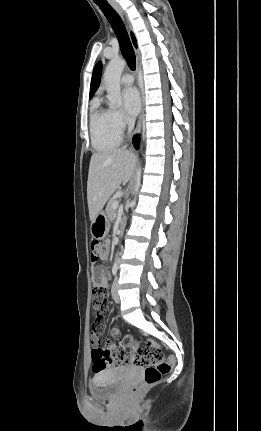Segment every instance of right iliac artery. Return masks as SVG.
<instances>
[{"mask_svg":"<svg viewBox=\"0 0 261 431\" xmlns=\"http://www.w3.org/2000/svg\"><path fill=\"white\" fill-rule=\"evenodd\" d=\"M112 273H113L114 276H116V274H117V268H113Z\"/></svg>","mask_w":261,"mask_h":431,"instance_id":"obj_1","label":"right iliac artery"}]
</instances>
